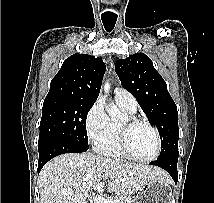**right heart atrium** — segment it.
I'll list each match as a JSON object with an SVG mask.
<instances>
[{
    "label": "right heart atrium",
    "mask_w": 214,
    "mask_h": 203,
    "mask_svg": "<svg viewBox=\"0 0 214 203\" xmlns=\"http://www.w3.org/2000/svg\"><path fill=\"white\" fill-rule=\"evenodd\" d=\"M84 125L87 137L94 145L99 144L109 136L112 121L107 115L101 99H97L88 110Z\"/></svg>",
    "instance_id": "obj_1"
}]
</instances>
